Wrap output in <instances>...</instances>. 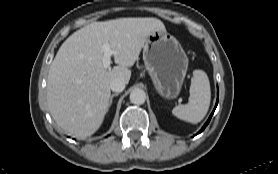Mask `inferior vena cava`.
I'll use <instances>...</instances> for the list:
<instances>
[{"label": "inferior vena cava", "instance_id": "inferior-vena-cava-1", "mask_svg": "<svg viewBox=\"0 0 278 174\" xmlns=\"http://www.w3.org/2000/svg\"><path fill=\"white\" fill-rule=\"evenodd\" d=\"M110 88L114 92H122L125 88V82L122 79H113L110 83Z\"/></svg>", "mask_w": 278, "mask_h": 174}]
</instances>
